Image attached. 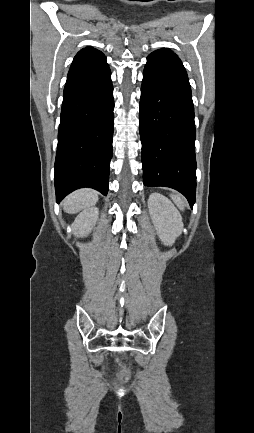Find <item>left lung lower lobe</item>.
Listing matches in <instances>:
<instances>
[{
    "instance_id": "left-lung-lower-lobe-1",
    "label": "left lung lower lobe",
    "mask_w": 254,
    "mask_h": 433,
    "mask_svg": "<svg viewBox=\"0 0 254 433\" xmlns=\"http://www.w3.org/2000/svg\"><path fill=\"white\" fill-rule=\"evenodd\" d=\"M139 130L145 186L196 193L195 123L191 87L181 60L171 53L147 57L141 87Z\"/></svg>"
}]
</instances>
